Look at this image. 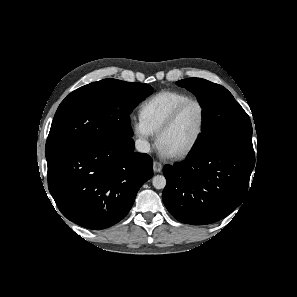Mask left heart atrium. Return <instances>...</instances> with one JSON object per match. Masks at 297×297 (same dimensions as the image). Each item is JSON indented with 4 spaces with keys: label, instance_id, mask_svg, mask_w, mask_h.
<instances>
[{
    "label": "left heart atrium",
    "instance_id": "left-heart-atrium-1",
    "mask_svg": "<svg viewBox=\"0 0 297 297\" xmlns=\"http://www.w3.org/2000/svg\"><path fill=\"white\" fill-rule=\"evenodd\" d=\"M160 151L164 155H169V153L165 149H163L162 147H160Z\"/></svg>",
    "mask_w": 297,
    "mask_h": 297
}]
</instances>
